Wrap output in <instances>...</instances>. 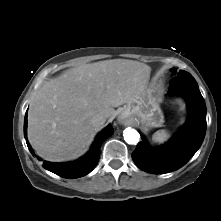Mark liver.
<instances>
[{
  "label": "liver",
  "mask_w": 221,
  "mask_h": 221,
  "mask_svg": "<svg viewBox=\"0 0 221 221\" xmlns=\"http://www.w3.org/2000/svg\"><path fill=\"white\" fill-rule=\"evenodd\" d=\"M151 68L141 62L113 59L81 65L46 82L31 101L28 138L45 160L76 158L100 128L97 115L113 119L115 107L146 90Z\"/></svg>",
  "instance_id": "6515ba94"
}]
</instances>
